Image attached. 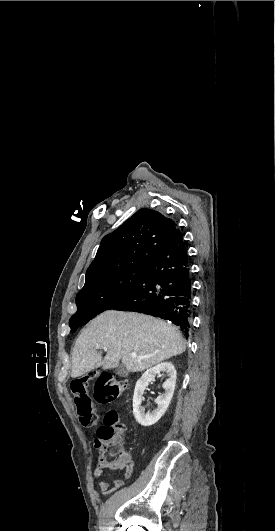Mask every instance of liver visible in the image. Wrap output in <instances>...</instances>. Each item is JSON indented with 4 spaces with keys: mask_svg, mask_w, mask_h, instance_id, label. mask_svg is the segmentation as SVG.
<instances>
[{
    "mask_svg": "<svg viewBox=\"0 0 275 531\" xmlns=\"http://www.w3.org/2000/svg\"><path fill=\"white\" fill-rule=\"evenodd\" d=\"M106 347L102 361L97 349ZM186 351L177 327L140 313L105 311L83 329L72 353L71 377H81L92 369H115L120 359L130 373L146 371ZM137 353V357H131Z\"/></svg>",
    "mask_w": 275,
    "mask_h": 531,
    "instance_id": "obj_1",
    "label": "liver"
}]
</instances>
